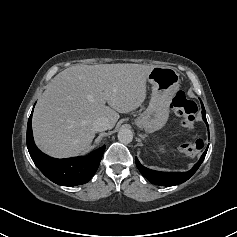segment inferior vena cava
Segmentation results:
<instances>
[{"label": "inferior vena cava", "instance_id": "inferior-vena-cava-1", "mask_svg": "<svg viewBox=\"0 0 237 237\" xmlns=\"http://www.w3.org/2000/svg\"><path fill=\"white\" fill-rule=\"evenodd\" d=\"M93 128L98 132L105 131L110 128V123L106 118L103 117L97 118L93 122Z\"/></svg>", "mask_w": 237, "mask_h": 237}]
</instances>
